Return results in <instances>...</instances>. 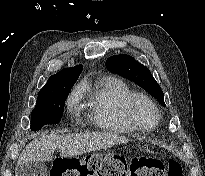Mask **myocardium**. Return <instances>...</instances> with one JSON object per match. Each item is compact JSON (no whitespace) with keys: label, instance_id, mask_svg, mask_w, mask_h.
Instances as JSON below:
<instances>
[{"label":"myocardium","instance_id":"obj_1","mask_svg":"<svg viewBox=\"0 0 205 176\" xmlns=\"http://www.w3.org/2000/svg\"><path fill=\"white\" fill-rule=\"evenodd\" d=\"M139 102L146 103L154 111L156 115V122L153 125H150V126L142 125L136 119L135 107ZM124 113H125L127 120L135 127V129L142 130V131H148L152 129L153 127L157 126L161 119L160 111L158 107L156 106V104L154 103V101L148 96L141 94V93H134L126 100L125 107H124Z\"/></svg>","mask_w":205,"mask_h":176}]
</instances>
